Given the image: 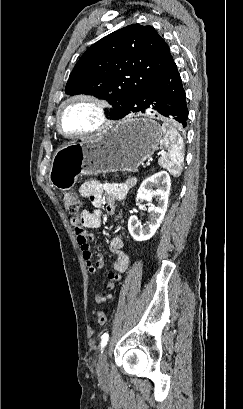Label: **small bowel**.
Wrapping results in <instances>:
<instances>
[{
	"label": "small bowel",
	"mask_w": 243,
	"mask_h": 409,
	"mask_svg": "<svg viewBox=\"0 0 243 409\" xmlns=\"http://www.w3.org/2000/svg\"><path fill=\"white\" fill-rule=\"evenodd\" d=\"M135 184V178H129L123 183H109L105 185H102L96 180H90L81 187V195L90 199L94 209L84 210L79 217L73 218L71 223L74 227L83 259L90 274H97L103 268L104 262L99 253H93L91 250L89 243L93 240L94 235L90 232H86L85 228H100L102 220L99 208L101 205H105L109 215H114L116 212V201L124 199ZM104 194H106L105 198L103 197ZM79 228L83 229L84 232L80 233L78 231ZM109 250L116 255L113 262L115 273L108 275L109 281L105 285L108 292L96 294L95 302L97 304L104 303L112 298L110 291L114 289L116 283L121 278V274L126 272L129 266L128 255L123 251L122 239L118 237L113 238L109 243ZM94 256L97 257L96 261H94Z\"/></svg>",
	"instance_id": "small-bowel-1"
}]
</instances>
